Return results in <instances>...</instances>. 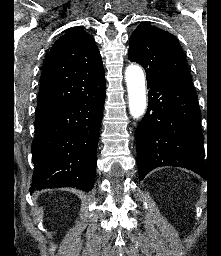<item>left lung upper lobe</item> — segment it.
Segmentation results:
<instances>
[{"label": "left lung upper lobe", "mask_w": 221, "mask_h": 256, "mask_svg": "<svg viewBox=\"0 0 221 256\" xmlns=\"http://www.w3.org/2000/svg\"><path fill=\"white\" fill-rule=\"evenodd\" d=\"M128 57L143 66L147 81L191 84L187 61L178 40L149 23H141L131 35Z\"/></svg>", "instance_id": "left-lung-upper-lobe-1"}]
</instances>
